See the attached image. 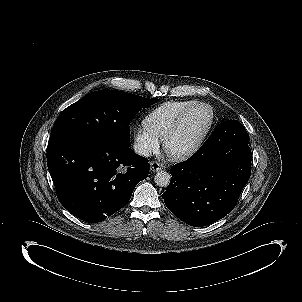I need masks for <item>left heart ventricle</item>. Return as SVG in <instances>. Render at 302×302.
I'll return each mask as SVG.
<instances>
[{"label":"left heart ventricle","instance_id":"left-heart-ventricle-1","mask_svg":"<svg viewBox=\"0 0 302 302\" xmlns=\"http://www.w3.org/2000/svg\"><path fill=\"white\" fill-rule=\"evenodd\" d=\"M206 121L205 110L199 109L189 114L171 137L170 147L175 151L188 148L200 135Z\"/></svg>","mask_w":302,"mask_h":302}]
</instances>
